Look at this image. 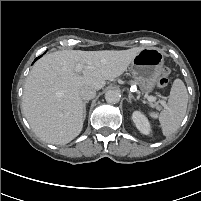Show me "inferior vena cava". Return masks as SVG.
Returning <instances> with one entry per match:
<instances>
[{
	"label": "inferior vena cava",
	"mask_w": 201,
	"mask_h": 201,
	"mask_svg": "<svg viewBox=\"0 0 201 201\" xmlns=\"http://www.w3.org/2000/svg\"><path fill=\"white\" fill-rule=\"evenodd\" d=\"M79 95H80L81 99H83V100H86V101L91 100L95 97L96 90H94L91 87H82L79 90Z\"/></svg>",
	"instance_id": "inferior-vena-cava-1"
}]
</instances>
